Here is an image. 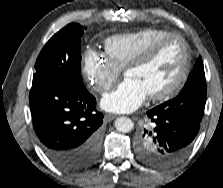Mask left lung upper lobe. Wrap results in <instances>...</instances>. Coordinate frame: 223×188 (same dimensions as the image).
Listing matches in <instances>:
<instances>
[{
    "mask_svg": "<svg viewBox=\"0 0 223 188\" xmlns=\"http://www.w3.org/2000/svg\"><path fill=\"white\" fill-rule=\"evenodd\" d=\"M206 92L203 61L199 57L180 94L157 108L169 116L200 123L204 114Z\"/></svg>",
    "mask_w": 223,
    "mask_h": 188,
    "instance_id": "left-lung-upper-lobe-1",
    "label": "left lung upper lobe"
}]
</instances>
